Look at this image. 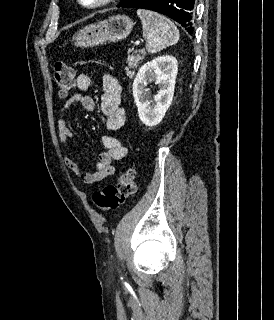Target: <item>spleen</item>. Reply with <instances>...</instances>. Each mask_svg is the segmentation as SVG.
Instances as JSON below:
<instances>
[{"mask_svg":"<svg viewBox=\"0 0 274 320\" xmlns=\"http://www.w3.org/2000/svg\"><path fill=\"white\" fill-rule=\"evenodd\" d=\"M137 16L142 22L143 38L147 42V52L156 54L167 46L177 44L179 32L171 20L157 14V12H150V10H137Z\"/></svg>","mask_w":274,"mask_h":320,"instance_id":"3e777b00","label":"spleen"}]
</instances>
